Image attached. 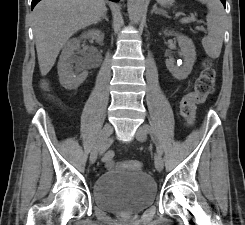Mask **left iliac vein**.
I'll list each match as a JSON object with an SVG mask.
<instances>
[{
	"instance_id": "1",
	"label": "left iliac vein",
	"mask_w": 245,
	"mask_h": 225,
	"mask_svg": "<svg viewBox=\"0 0 245 225\" xmlns=\"http://www.w3.org/2000/svg\"><path fill=\"white\" fill-rule=\"evenodd\" d=\"M146 135H147V132L144 129V126H140L135 133L136 139L140 142H144L146 140ZM154 163H155V168L157 169V171L161 172L164 167V162L160 154L155 155Z\"/></svg>"
}]
</instances>
